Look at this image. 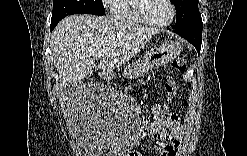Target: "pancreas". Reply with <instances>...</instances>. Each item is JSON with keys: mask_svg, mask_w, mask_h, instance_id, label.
Instances as JSON below:
<instances>
[{"mask_svg": "<svg viewBox=\"0 0 247 156\" xmlns=\"http://www.w3.org/2000/svg\"><path fill=\"white\" fill-rule=\"evenodd\" d=\"M143 71H145V70L138 67V69L135 71L133 77L139 76Z\"/></svg>", "mask_w": 247, "mask_h": 156, "instance_id": "obj_1", "label": "pancreas"}]
</instances>
